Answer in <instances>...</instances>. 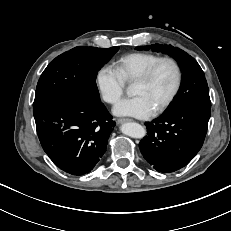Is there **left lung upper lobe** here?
Masks as SVG:
<instances>
[{
    "mask_svg": "<svg viewBox=\"0 0 231 231\" xmlns=\"http://www.w3.org/2000/svg\"><path fill=\"white\" fill-rule=\"evenodd\" d=\"M136 49H152L153 51L165 52L173 57L181 68L182 84L180 90L166 111L185 106L211 108L209 88L204 72L193 57L177 47L166 44H152L151 46L137 47Z\"/></svg>",
    "mask_w": 231,
    "mask_h": 231,
    "instance_id": "obj_1",
    "label": "left lung upper lobe"
}]
</instances>
